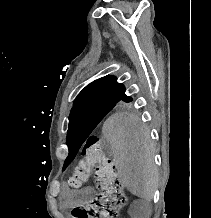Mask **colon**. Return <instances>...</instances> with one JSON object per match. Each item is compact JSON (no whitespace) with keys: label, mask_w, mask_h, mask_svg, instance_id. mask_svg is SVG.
<instances>
[{"label":"colon","mask_w":211,"mask_h":218,"mask_svg":"<svg viewBox=\"0 0 211 218\" xmlns=\"http://www.w3.org/2000/svg\"><path fill=\"white\" fill-rule=\"evenodd\" d=\"M94 180L99 193L86 206L76 207L74 218H117L126 205L127 197L116 165L105 154L97 136L88 137L83 145L80 160L69 180L73 188H80Z\"/></svg>","instance_id":"1"}]
</instances>
